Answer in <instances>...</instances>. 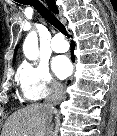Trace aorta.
Returning <instances> with one entry per match:
<instances>
[{
  "label": "aorta",
  "instance_id": "aorta-1",
  "mask_svg": "<svg viewBox=\"0 0 117 136\" xmlns=\"http://www.w3.org/2000/svg\"><path fill=\"white\" fill-rule=\"evenodd\" d=\"M23 51L29 60H34L38 56V37L36 32H30L23 44Z\"/></svg>",
  "mask_w": 117,
  "mask_h": 136
}]
</instances>
